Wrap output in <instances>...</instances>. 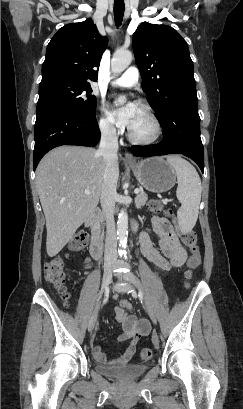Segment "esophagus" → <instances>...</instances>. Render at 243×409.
Listing matches in <instances>:
<instances>
[{"instance_id":"1","label":"esophagus","mask_w":243,"mask_h":409,"mask_svg":"<svg viewBox=\"0 0 243 409\" xmlns=\"http://www.w3.org/2000/svg\"><path fill=\"white\" fill-rule=\"evenodd\" d=\"M124 159L128 163H135L136 162L134 156L130 152H125Z\"/></svg>"}]
</instances>
